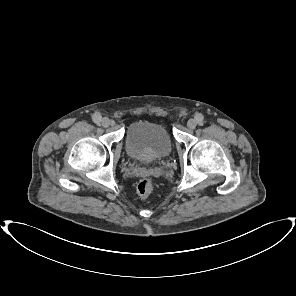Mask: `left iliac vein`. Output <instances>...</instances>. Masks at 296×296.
I'll use <instances>...</instances> for the list:
<instances>
[{"label": "left iliac vein", "mask_w": 296, "mask_h": 296, "mask_svg": "<svg viewBox=\"0 0 296 296\" xmlns=\"http://www.w3.org/2000/svg\"><path fill=\"white\" fill-rule=\"evenodd\" d=\"M196 125H197V122H196L195 119H190V120L187 122V127H188L189 129H195Z\"/></svg>", "instance_id": "obj_1"}]
</instances>
